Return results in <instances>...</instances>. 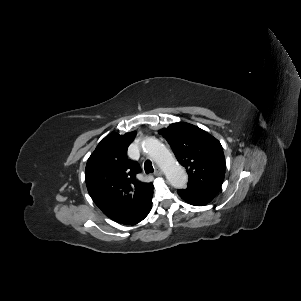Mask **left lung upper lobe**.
<instances>
[{"label": "left lung upper lobe", "instance_id": "5c2ea615", "mask_svg": "<svg viewBox=\"0 0 301 301\" xmlns=\"http://www.w3.org/2000/svg\"><path fill=\"white\" fill-rule=\"evenodd\" d=\"M189 175L188 187L218 193L225 176L220 142L189 123H173L159 131Z\"/></svg>", "mask_w": 301, "mask_h": 301}]
</instances>
